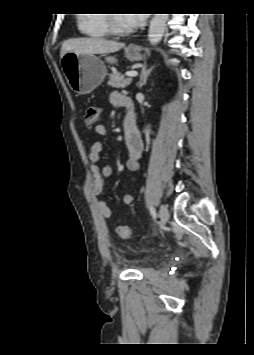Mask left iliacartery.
<instances>
[{
  "label": "left iliac artery",
  "mask_w": 254,
  "mask_h": 355,
  "mask_svg": "<svg viewBox=\"0 0 254 355\" xmlns=\"http://www.w3.org/2000/svg\"><path fill=\"white\" fill-rule=\"evenodd\" d=\"M150 213L153 216V218H155L156 214H155V209L153 207H150Z\"/></svg>",
  "instance_id": "1"
}]
</instances>
